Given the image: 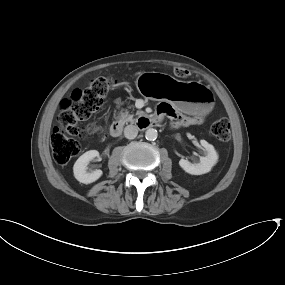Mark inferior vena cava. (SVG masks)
<instances>
[{"mask_svg": "<svg viewBox=\"0 0 285 285\" xmlns=\"http://www.w3.org/2000/svg\"><path fill=\"white\" fill-rule=\"evenodd\" d=\"M138 134V128L135 125H128L124 129V136L128 139H134Z\"/></svg>", "mask_w": 285, "mask_h": 285, "instance_id": "inferior-vena-cava-1", "label": "inferior vena cava"}]
</instances>
